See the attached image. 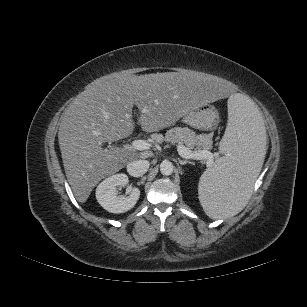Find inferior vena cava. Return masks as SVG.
<instances>
[{"mask_svg":"<svg viewBox=\"0 0 307 307\" xmlns=\"http://www.w3.org/2000/svg\"><path fill=\"white\" fill-rule=\"evenodd\" d=\"M149 165L147 160H134L127 164V172L133 177H140L147 172Z\"/></svg>","mask_w":307,"mask_h":307,"instance_id":"602c4592","label":"inferior vena cava"}]
</instances>
